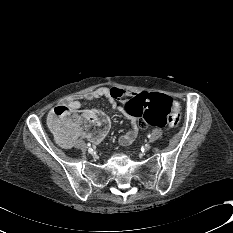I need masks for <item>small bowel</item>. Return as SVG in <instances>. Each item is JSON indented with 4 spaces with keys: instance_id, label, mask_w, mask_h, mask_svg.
I'll use <instances>...</instances> for the list:
<instances>
[{
    "instance_id": "small-bowel-1",
    "label": "small bowel",
    "mask_w": 233,
    "mask_h": 233,
    "mask_svg": "<svg viewBox=\"0 0 233 233\" xmlns=\"http://www.w3.org/2000/svg\"><path fill=\"white\" fill-rule=\"evenodd\" d=\"M137 94L138 93H127L126 91H124L123 89L118 88V87H101V88L95 89L93 91L87 92L86 94H84L83 97L87 100H95L98 98H105L109 101V103L113 109H116L121 113L120 104H119L121 102V100L126 98V97H129V98L134 97ZM65 105L70 108L72 114L75 113L76 111H78L82 106V104L78 98L68 99L65 102ZM51 113H50V115H51ZM126 118L129 120V128L119 138V143L121 145H124V146L130 145L136 139L138 132H139L138 120L140 117L139 118L126 117ZM106 133H107V131H103V132L95 133V134L87 133L84 131H78V132L72 133V134L56 136V140L60 146H62L64 148H70L73 146L75 140L79 137L85 136L93 144H97L103 140Z\"/></svg>"
}]
</instances>
